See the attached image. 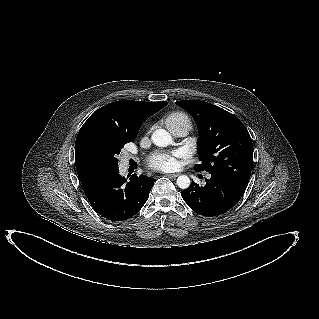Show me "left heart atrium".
Returning a JSON list of instances; mask_svg holds the SVG:
<instances>
[{"label":"left heart atrium","mask_w":319,"mask_h":319,"mask_svg":"<svg viewBox=\"0 0 319 319\" xmlns=\"http://www.w3.org/2000/svg\"><path fill=\"white\" fill-rule=\"evenodd\" d=\"M178 156V153H156L148 158L147 164L154 170L170 171L177 167Z\"/></svg>","instance_id":"1"}]
</instances>
